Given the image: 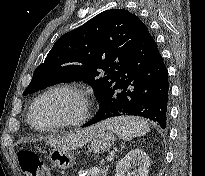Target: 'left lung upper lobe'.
<instances>
[{
    "instance_id": "1",
    "label": "left lung upper lobe",
    "mask_w": 205,
    "mask_h": 176,
    "mask_svg": "<svg viewBox=\"0 0 205 176\" xmlns=\"http://www.w3.org/2000/svg\"><path fill=\"white\" fill-rule=\"evenodd\" d=\"M145 29L146 25L127 10L103 11L55 42L24 94L62 81L83 80L100 101Z\"/></svg>"
}]
</instances>
